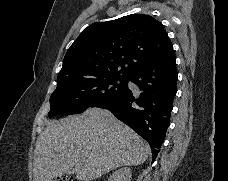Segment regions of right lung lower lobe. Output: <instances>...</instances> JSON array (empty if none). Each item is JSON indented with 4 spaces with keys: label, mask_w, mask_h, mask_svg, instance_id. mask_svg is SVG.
I'll return each mask as SVG.
<instances>
[{
    "label": "right lung lower lobe",
    "mask_w": 228,
    "mask_h": 181,
    "mask_svg": "<svg viewBox=\"0 0 228 181\" xmlns=\"http://www.w3.org/2000/svg\"><path fill=\"white\" fill-rule=\"evenodd\" d=\"M177 76L171 49L134 72L128 80L134 85L129 88L127 84V90L118 100L103 107L150 144L153 160L170 123Z\"/></svg>",
    "instance_id": "1"
}]
</instances>
